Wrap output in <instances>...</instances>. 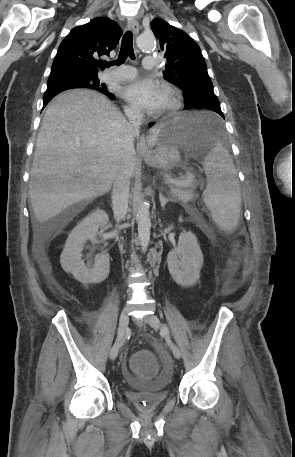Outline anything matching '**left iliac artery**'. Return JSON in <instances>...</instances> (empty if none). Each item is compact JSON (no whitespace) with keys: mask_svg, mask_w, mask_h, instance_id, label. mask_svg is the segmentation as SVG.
<instances>
[{"mask_svg":"<svg viewBox=\"0 0 295 457\" xmlns=\"http://www.w3.org/2000/svg\"><path fill=\"white\" fill-rule=\"evenodd\" d=\"M162 332L166 335L167 342L170 343V339H169V329H168V327H167L165 324L163 325Z\"/></svg>","mask_w":295,"mask_h":457,"instance_id":"obj_1","label":"left iliac artery"}]
</instances>
